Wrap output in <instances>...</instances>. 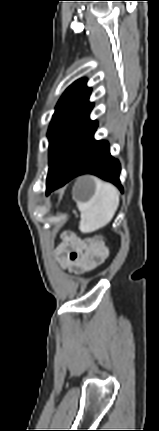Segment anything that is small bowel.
<instances>
[{
	"mask_svg": "<svg viewBox=\"0 0 159 431\" xmlns=\"http://www.w3.org/2000/svg\"><path fill=\"white\" fill-rule=\"evenodd\" d=\"M104 236L81 239L73 232H65L57 254L61 265L75 274H83L102 264L109 255Z\"/></svg>",
	"mask_w": 159,
	"mask_h": 431,
	"instance_id": "obj_1",
	"label": "small bowel"
}]
</instances>
